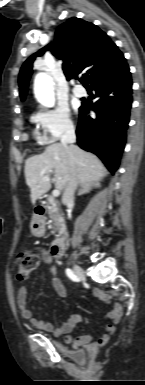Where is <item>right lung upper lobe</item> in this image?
Instances as JSON below:
<instances>
[{
    "mask_svg": "<svg viewBox=\"0 0 145 385\" xmlns=\"http://www.w3.org/2000/svg\"><path fill=\"white\" fill-rule=\"evenodd\" d=\"M48 49L42 48L30 56L19 74L20 97L25 99L32 63ZM50 50L60 59L66 78L78 79L85 87L116 72L126 59L105 32L79 18H70L55 31Z\"/></svg>",
    "mask_w": 145,
    "mask_h": 385,
    "instance_id": "right-lung-upper-lobe-1",
    "label": "right lung upper lobe"
}]
</instances>
